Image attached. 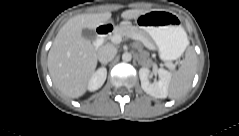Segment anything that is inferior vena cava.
Instances as JSON below:
<instances>
[{"mask_svg": "<svg viewBox=\"0 0 239 136\" xmlns=\"http://www.w3.org/2000/svg\"><path fill=\"white\" fill-rule=\"evenodd\" d=\"M116 53L117 49L113 45L107 44L99 48L97 57L102 64H107L114 59Z\"/></svg>", "mask_w": 239, "mask_h": 136, "instance_id": "1", "label": "inferior vena cava"}]
</instances>
